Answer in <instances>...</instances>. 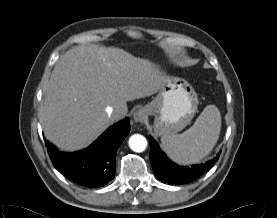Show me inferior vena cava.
Instances as JSON below:
<instances>
[{"label": "inferior vena cava", "instance_id": "inferior-vena-cava-1", "mask_svg": "<svg viewBox=\"0 0 277 218\" xmlns=\"http://www.w3.org/2000/svg\"><path fill=\"white\" fill-rule=\"evenodd\" d=\"M106 113L108 114L109 117H112V118H121L124 115L123 110H118L114 112L113 108L111 107L106 108Z\"/></svg>", "mask_w": 277, "mask_h": 218}]
</instances>
